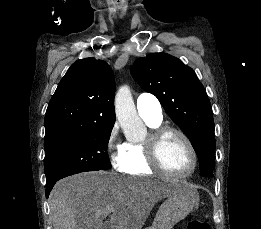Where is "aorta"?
<instances>
[{"mask_svg": "<svg viewBox=\"0 0 261 229\" xmlns=\"http://www.w3.org/2000/svg\"><path fill=\"white\" fill-rule=\"evenodd\" d=\"M115 112L116 119L126 137L128 135H130L131 139L144 137L146 129L137 115L132 92L126 84L120 86L115 94Z\"/></svg>", "mask_w": 261, "mask_h": 229, "instance_id": "aorta-1", "label": "aorta"}]
</instances>
